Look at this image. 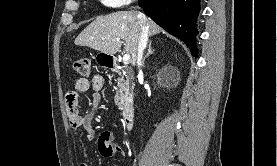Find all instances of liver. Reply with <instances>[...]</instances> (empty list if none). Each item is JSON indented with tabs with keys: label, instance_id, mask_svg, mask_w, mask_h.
<instances>
[{
	"label": "liver",
	"instance_id": "liver-1",
	"mask_svg": "<svg viewBox=\"0 0 277 166\" xmlns=\"http://www.w3.org/2000/svg\"><path fill=\"white\" fill-rule=\"evenodd\" d=\"M148 26V35L161 32V28L152 20L143 22ZM141 37V21L132 11H118L106 16L97 17L75 39V45L90 47L99 52L113 56L125 41L124 51L130 55V61L135 65L138 45Z\"/></svg>",
	"mask_w": 277,
	"mask_h": 166
}]
</instances>
